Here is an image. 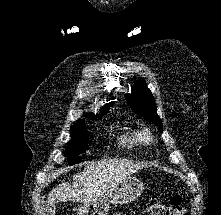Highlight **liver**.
<instances>
[{"label": "liver", "instance_id": "1", "mask_svg": "<svg viewBox=\"0 0 221 215\" xmlns=\"http://www.w3.org/2000/svg\"><path fill=\"white\" fill-rule=\"evenodd\" d=\"M146 166L145 163L118 158L89 163L74 176L72 185L63 183L53 188L47 204L67 201L95 203L107 196L122 180Z\"/></svg>", "mask_w": 221, "mask_h": 215}]
</instances>
